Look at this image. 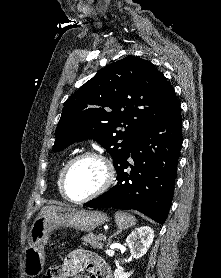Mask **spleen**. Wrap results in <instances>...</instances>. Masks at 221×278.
<instances>
[{"mask_svg": "<svg viewBox=\"0 0 221 278\" xmlns=\"http://www.w3.org/2000/svg\"><path fill=\"white\" fill-rule=\"evenodd\" d=\"M115 221L120 230L128 229L136 224V218L126 212L115 213Z\"/></svg>", "mask_w": 221, "mask_h": 278, "instance_id": "obj_1", "label": "spleen"}]
</instances>
